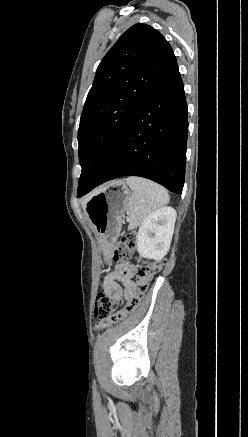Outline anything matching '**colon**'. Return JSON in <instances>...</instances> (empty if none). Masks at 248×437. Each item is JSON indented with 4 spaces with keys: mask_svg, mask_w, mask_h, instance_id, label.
Masks as SVG:
<instances>
[{
    "mask_svg": "<svg viewBox=\"0 0 248 437\" xmlns=\"http://www.w3.org/2000/svg\"><path fill=\"white\" fill-rule=\"evenodd\" d=\"M136 246L133 234L124 235L115 245L112 252L114 262H125L130 259ZM165 261L146 262L138 272L136 290L133 296L119 309L121 300H114L108 293L99 292L95 301V317L98 319V329H106L128 317L139 305L154 276L162 270Z\"/></svg>",
    "mask_w": 248,
    "mask_h": 437,
    "instance_id": "1",
    "label": "colon"
}]
</instances>
